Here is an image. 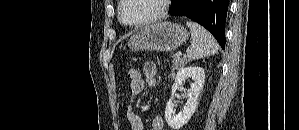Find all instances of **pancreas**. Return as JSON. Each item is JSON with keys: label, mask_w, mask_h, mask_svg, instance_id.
Returning <instances> with one entry per match:
<instances>
[{"label": "pancreas", "mask_w": 299, "mask_h": 130, "mask_svg": "<svg viewBox=\"0 0 299 130\" xmlns=\"http://www.w3.org/2000/svg\"><path fill=\"white\" fill-rule=\"evenodd\" d=\"M172 69H178L180 68L181 65L185 64L186 61L184 59H181L177 55H172Z\"/></svg>", "instance_id": "pancreas-1"}]
</instances>
